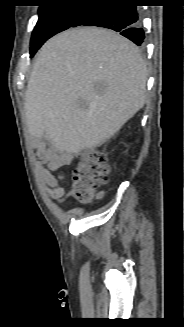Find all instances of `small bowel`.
I'll use <instances>...</instances> for the list:
<instances>
[{
    "instance_id": "1",
    "label": "small bowel",
    "mask_w": 184,
    "mask_h": 327,
    "mask_svg": "<svg viewBox=\"0 0 184 327\" xmlns=\"http://www.w3.org/2000/svg\"><path fill=\"white\" fill-rule=\"evenodd\" d=\"M40 160L36 166L41 178L47 183V194L59 203L63 202L65 188L61 181L64 176L59 174L55 176L53 172L58 171L62 166H68L73 162V156L70 153L59 152L54 148H42L38 150ZM47 165V167L44 166Z\"/></svg>"
}]
</instances>
